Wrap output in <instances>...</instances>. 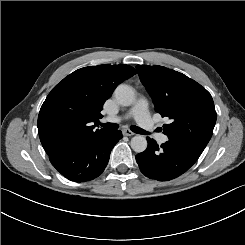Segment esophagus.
<instances>
[{
  "mask_svg": "<svg viewBox=\"0 0 245 245\" xmlns=\"http://www.w3.org/2000/svg\"><path fill=\"white\" fill-rule=\"evenodd\" d=\"M122 133H123L124 136H133V135H135V133L130 131L129 129H123Z\"/></svg>",
  "mask_w": 245,
  "mask_h": 245,
  "instance_id": "34e87169",
  "label": "esophagus"
}]
</instances>
